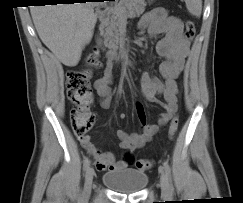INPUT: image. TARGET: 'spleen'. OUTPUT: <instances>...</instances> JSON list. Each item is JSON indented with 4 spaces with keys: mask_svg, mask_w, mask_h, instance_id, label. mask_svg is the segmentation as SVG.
I'll list each match as a JSON object with an SVG mask.
<instances>
[{
    "mask_svg": "<svg viewBox=\"0 0 243 203\" xmlns=\"http://www.w3.org/2000/svg\"><path fill=\"white\" fill-rule=\"evenodd\" d=\"M187 10L193 16L200 17L202 12V0H185Z\"/></svg>",
    "mask_w": 243,
    "mask_h": 203,
    "instance_id": "obj_1",
    "label": "spleen"
}]
</instances>
